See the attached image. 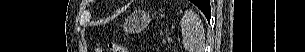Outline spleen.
Returning <instances> with one entry per match:
<instances>
[{"label": "spleen", "instance_id": "obj_1", "mask_svg": "<svg viewBox=\"0 0 305 52\" xmlns=\"http://www.w3.org/2000/svg\"><path fill=\"white\" fill-rule=\"evenodd\" d=\"M183 45L188 52H203L205 29L200 18L193 11H186L180 21Z\"/></svg>", "mask_w": 305, "mask_h": 52}]
</instances>
